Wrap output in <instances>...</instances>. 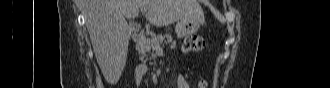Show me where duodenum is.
Here are the masks:
<instances>
[{
	"label": "duodenum",
	"instance_id": "410a0bca",
	"mask_svg": "<svg viewBox=\"0 0 330 88\" xmlns=\"http://www.w3.org/2000/svg\"><path fill=\"white\" fill-rule=\"evenodd\" d=\"M142 37H143L142 31L139 30L135 36V41H140ZM147 69L148 68L145 64L139 65L137 70L138 75L143 76L147 72Z\"/></svg>",
	"mask_w": 330,
	"mask_h": 88
}]
</instances>
